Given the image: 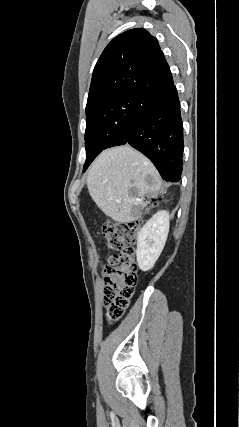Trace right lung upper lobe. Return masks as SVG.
I'll return each mask as SVG.
<instances>
[{
	"label": "right lung upper lobe",
	"instance_id": "cb5924a9",
	"mask_svg": "<svg viewBox=\"0 0 239 427\" xmlns=\"http://www.w3.org/2000/svg\"><path fill=\"white\" fill-rule=\"evenodd\" d=\"M171 83L170 68L157 39L144 29H131L115 37L101 54L87 106L126 95L143 96Z\"/></svg>",
	"mask_w": 239,
	"mask_h": 427
}]
</instances>
